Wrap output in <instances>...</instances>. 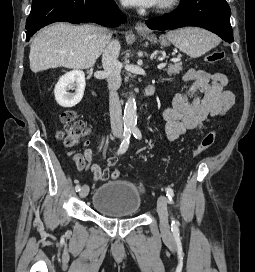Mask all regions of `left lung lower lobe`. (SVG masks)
Segmentation results:
<instances>
[{"instance_id": "left-lung-lower-lobe-1", "label": "left lung lower lobe", "mask_w": 255, "mask_h": 272, "mask_svg": "<svg viewBox=\"0 0 255 272\" xmlns=\"http://www.w3.org/2000/svg\"><path fill=\"white\" fill-rule=\"evenodd\" d=\"M230 14L226 0H181L178 10L162 17L149 19L146 25L154 30L198 26L231 43L233 31L230 25Z\"/></svg>"}]
</instances>
